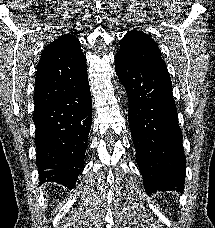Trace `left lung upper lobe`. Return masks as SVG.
<instances>
[{
  "mask_svg": "<svg viewBox=\"0 0 215 228\" xmlns=\"http://www.w3.org/2000/svg\"><path fill=\"white\" fill-rule=\"evenodd\" d=\"M127 60L139 63H153L162 60L161 51L149 35L131 30L121 43L118 53Z\"/></svg>",
  "mask_w": 215,
  "mask_h": 228,
  "instance_id": "left-lung-upper-lobe-1",
  "label": "left lung upper lobe"
}]
</instances>
